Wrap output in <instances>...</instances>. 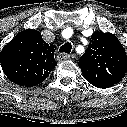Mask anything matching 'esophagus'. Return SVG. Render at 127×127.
Masks as SVG:
<instances>
[{
    "mask_svg": "<svg viewBox=\"0 0 127 127\" xmlns=\"http://www.w3.org/2000/svg\"><path fill=\"white\" fill-rule=\"evenodd\" d=\"M69 58H70V55L65 54V53H59V54L57 55V60H58L59 62L68 60Z\"/></svg>",
    "mask_w": 127,
    "mask_h": 127,
    "instance_id": "34e87169",
    "label": "esophagus"
}]
</instances>
